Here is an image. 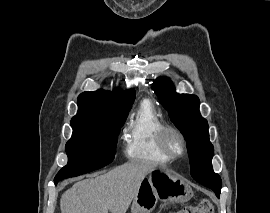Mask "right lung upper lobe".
I'll list each match as a JSON object with an SVG mask.
<instances>
[{
  "instance_id": "right-lung-upper-lobe-1",
  "label": "right lung upper lobe",
  "mask_w": 270,
  "mask_h": 213,
  "mask_svg": "<svg viewBox=\"0 0 270 213\" xmlns=\"http://www.w3.org/2000/svg\"><path fill=\"white\" fill-rule=\"evenodd\" d=\"M134 98V90L84 92L78 97V112L72 118V121L102 120L117 117L131 109Z\"/></svg>"
}]
</instances>
